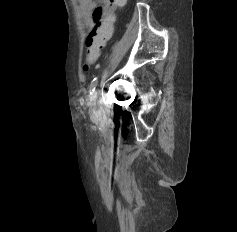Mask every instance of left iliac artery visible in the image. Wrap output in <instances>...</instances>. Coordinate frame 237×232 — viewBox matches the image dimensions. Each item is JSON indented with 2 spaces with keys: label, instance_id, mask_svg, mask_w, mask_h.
Masks as SVG:
<instances>
[{
  "label": "left iliac artery",
  "instance_id": "obj_1",
  "mask_svg": "<svg viewBox=\"0 0 237 232\" xmlns=\"http://www.w3.org/2000/svg\"><path fill=\"white\" fill-rule=\"evenodd\" d=\"M97 83H98V78L95 77V78L91 81V84H90V87H89V94H90V95H92L93 92L95 91L96 86H97Z\"/></svg>",
  "mask_w": 237,
  "mask_h": 232
}]
</instances>
